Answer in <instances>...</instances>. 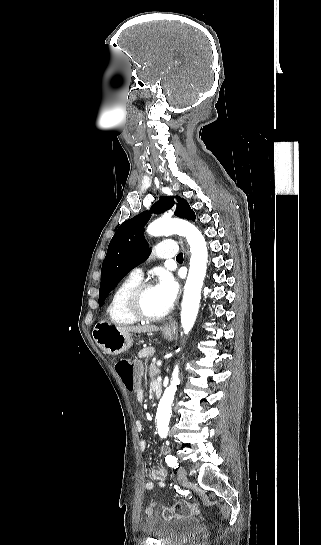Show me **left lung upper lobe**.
<instances>
[{"mask_svg": "<svg viewBox=\"0 0 321 545\" xmlns=\"http://www.w3.org/2000/svg\"><path fill=\"white\" fill-rule=\"evenodd\" d=\"M178 203L175 215L192 219L195 215L188 202L176 196ZM173 197H160L150 209L125 221L116 230L102 265L99 290V305L101 306L110 291L126 274L144 261L148 255L149 245L144 239L143 228L152 213L159 214L174 205Z\"/></svg>", "mask_w": 321, "mask_h": 545, "instance_id": "5c2ea615", "label": "left lung upper lobe"}]
</instances>
